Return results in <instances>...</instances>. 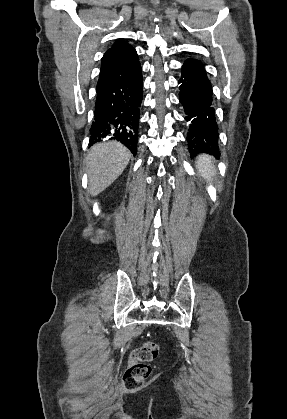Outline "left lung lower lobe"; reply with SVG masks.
I'll return each mask as SVG.
<instances>
[{"label": "left lung lower lobe", "instance_id": "0a47b994", "mask_svg": "<svg viewBox=\"0 0 287 419\" xmlns=\"http://www.w3.org/2000/svg\"><path fill=\"white\" fill-rule=\"evenodd\" d=\"M179 84V100L187 114L185 119L190 123L187 140L191 157L199 153L219 156L212 87L203 64L195 59L185 61Z\"/></svg>", "mask_w": 287, "mask_h": 419}]
</instances>
